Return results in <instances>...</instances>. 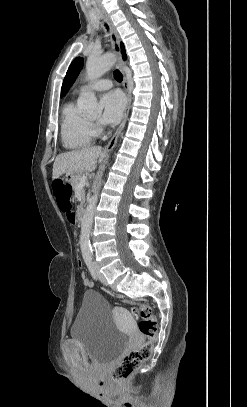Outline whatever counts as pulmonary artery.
Here are the masks:
<instances>
[{
	"label": "pulmonary artery",
	"mask_w": 247,
	"mask_h": 407,
	"mask_svg": "<svg viewBox=\"0 0 247 407\" xmlns=\"http://www.w3.org/2000/svg\"><path fill=\"white\" fill-rule=\"evenodd\" d=\"M111 87H112V81L108 78H102V79L96 80L90 84L81 86L78 90V94L82 95L90 90H93V91L106 90Z\"/></svg>",
	"instance_id": "obj_1"
}]
</instances>
